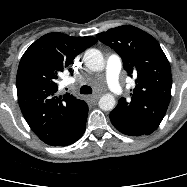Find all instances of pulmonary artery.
<instances>
[{"label":"pulmonary artery","mask_w":187,"mask_h":187,"mask_svg":"<svg viewBox=\"0 0 187 187\" xmlns=\"http://www.w3.org/2000/svg\"><path fill=\"white\" fill-rule=\"evenodd\" d=\"M121 71V61L118 56L111 55L106 64V81L110 90L116 94L121 92L119 75Z\"/></svg>","instance_id":"obj_1"}]
</instances>
